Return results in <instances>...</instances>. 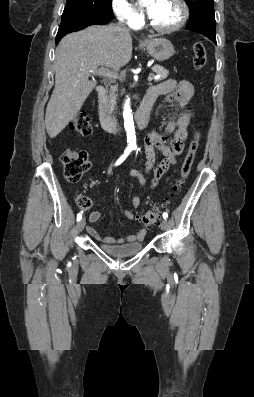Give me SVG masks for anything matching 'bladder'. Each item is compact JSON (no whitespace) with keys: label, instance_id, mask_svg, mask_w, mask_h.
Returning <instances> with one entry per match:
<instances>
[{"label":"bladder","instance_id":"obj_1","mask_svg":"<svg viewBox=\"0 0 254 397\" xmlns=\"http://www.w3.org/2000/svg\"><path fill=\"white\" fill-rule=\"evenodd\" d=\"M102 251L106 254L116 257L125 258L139 253L143 249V244L140 242L129 243L117 246H101Z\"/></svg>","mask_w":254,"mask_h":397}]
</instances>
